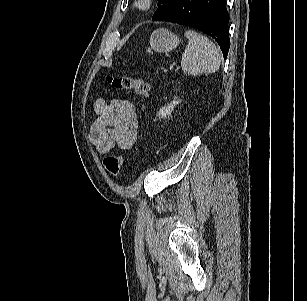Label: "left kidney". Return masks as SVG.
I'll return each instance as SVG.
<instances>
[{
    "mask_svg": "<svg viewBox=\"0 0 307 301\" xmlns=\"http://www.w3.org/2000/svg\"><path fill=\"white\" fill-rule=\"evenodd\" d=\"M179 104V100L174 98V100L168 104L167 106L162 107L159 112L158 115L159 118H165L167 116H169L171 114V112L174 110V107Z\"/></svg>",
    "mask_w": 307,
    "mask_h": 301,
    "instance_id": "left-kidney-1",
    "label": "left kidney"
}]
</instances>
